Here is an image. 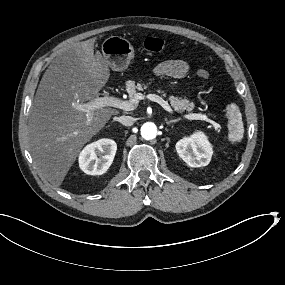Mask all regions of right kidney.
I'll use <instances>...</instances> for the list:
<instances>
[{"instance_id": "ca27d5eb", "label": "right kidney", "mask_w": 285, "mask_h": 285, "mask_svg": "<svg viewBox=\"0 0 285 285\" xmlns=\"http://www.w3.org/2000/svg\"><path fill=\"white\" fill-rule=\"evenodd\" d=\"M116 150V142L108 138L88 144L79 154V167L88 175H102L112 164Z\"/></svg>"}]
</instances>
